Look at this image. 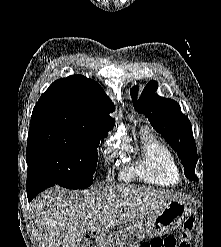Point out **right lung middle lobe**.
<instances>
[{
  "label": "right lung middle lobe",
  "mask_w": 221,
  "mask_h": 247,
  "mask_svg": "<svg viewBox=\"0 0 221 247\" xmlns=\"http://www.w3.org/2000/svg\"><path fill=\"white\" fill-rule=\"evenodd\" d=\"M103 140L63 128L30 129L28 171L65 188L85 189L93 183L97 147Z\"/></svg>",
  "instance_id": "right-lung-middle-lobe-1"
}]
</instances>
